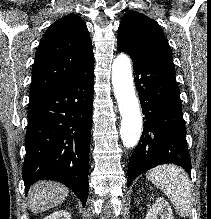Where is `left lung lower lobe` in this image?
<instances>
[{"mask_svg": "<svg viewBox=\"0 0 211 219\" xmlns=\"http://www.w3.org/2000/svg\"><path fill=\"white\" fill-rule=\"evenodd\" d=\"M131 58L145 121L141 140L129 160L128 187L137 176L160 164L191 170L173 62Z\"/></svg>", "mask_w": 211, "mask_h": 219, "instance_id": "obj_1", "label": "left lung lower lobe"}]
</instances>
